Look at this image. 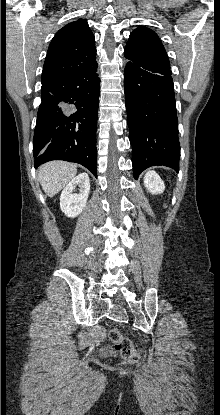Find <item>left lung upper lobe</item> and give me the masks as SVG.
Returning <instances> with one entry per match:
<instances>
[{
	"label": "left lung upper lobe",
	"mask_w": 220,
	"mask_h": 415,
	"mask_svg": "<svg viewBox=\"0 0 220 415\" xmlns=\"http://www.w3.org/2000/svg\"><path fill=\"white\" fill-rule=\"evenodd\" d=\"M124 55L131 62L170 68L167 53L158 35L144 26H139L130 34Z\"/></svg>",
	"instance_id": "obj_1"
}]
</instances>
